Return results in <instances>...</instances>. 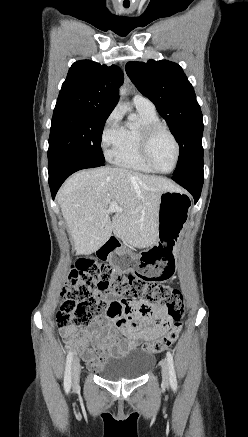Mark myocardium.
Listing matches in <instances>:
<instances>
[{
	"label": "myocardium",
	"mask_w": 248,
	"mask_h": 437,
	"mask_svg": "<svg viewBox=\"0 0 248 437\" xmlns=\"http://www.w3.org/2000/svg\"><path fill=\"white\" fill-rule=\"evenodd\" d=\"M160 131L166 132L171 137V139L175 145V149H176L174 164H173L172 168L170 170H167V171H163V170L158 169L155 166V164L153 163L151 155H150V148H151V143L153 141V138ZM140 153H141L143 161L152 171L160 173V174H170L176 169V167L178 165V162L180 159V154H181V148H180V144H179L177 137L170 130V128L161 122H155V123H151V124L144 126L141 130Z\"/></svg>",
	"instance_id": "myocardium-1"
}]
</instances>
